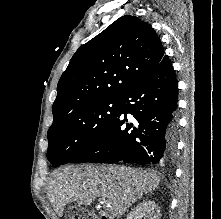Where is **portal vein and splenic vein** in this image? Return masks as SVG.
Here are the masks:
<instances>
[{"label": "portal vein and splenic vein", "mask_w": 221, "mask_h": 219, "mask_svg": "<svg viewBox=\"0 0 221 219\" xmlns=\"http://www.w3.org/2000/svg\"><path fill=\"white\" fill-rule=\"evenodd\" d=\"M101 204H102V205H104V204H105L106 206H108V207H109V205H107L105 201H101Z\"/></svg>", "instance_id": "obj_1"}]
</instances>
